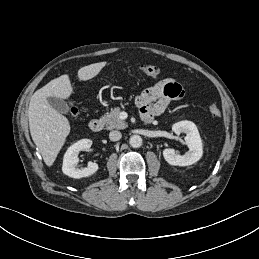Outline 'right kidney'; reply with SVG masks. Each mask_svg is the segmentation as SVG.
I'll return each instance as SVG.
<instances>
[{
  "mask_svg": "<svg viewBox=\"0 0 259 259\" xmlns=\"http://www.w3.org/2000/svg\"><path fill=\"white\" fill-rule=\"evenodd\" d=\"M92 141L90 139H82L71 145L63 158L62 171L65 175L72 178H83L94 174L98 170V164L89 162L87 167L82 169L77 168L76 164L79 161L78 154L80 151L90 148Z\"/></svg>",
  "mask_w": 259,
  "mask_h": 259,
  "instance_id": "right-kidney-1",
  "label": "right kidney"
}]
</instances>
